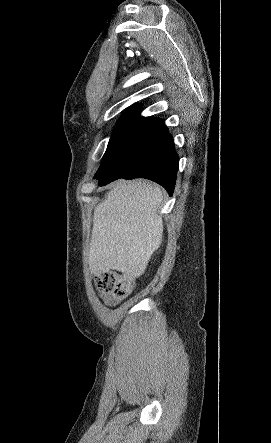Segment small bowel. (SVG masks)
I'll return each instance as SVG.
<instances>
[{
	"instance_id": "obj_1",
	"label": "small bowel",
	"mask_w": 271,
	"mask_h": 443,
	"mask_svg": "<svg viewBox=\"0 0 271 443\" xmlns=\"http://www.w3.org/2000/svg\"><path fill=\"white\" fill-rule=\"evenodd\" d=\"M100 296L103 299V301L109 306H114V305L118 304L120 301V299H116L114 297H111V296L103 294V293H100Z\"/></svg>"
}]
</instances>
